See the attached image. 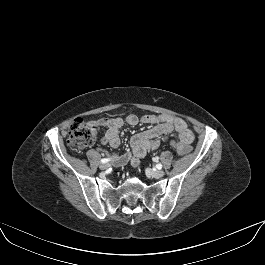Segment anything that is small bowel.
<instances>
[{"label":"small bowel","mask_w":265,"mask_h":265,"mask_svg":"<svg viewBox=\"0 0 265 265\" xmlns=\"http://www.w3.org/2000/svg\"><path fill=\"white\" fill-rule=\"evenodd\" d=\"M125 122L130 126L143 123L150 124L153 127L131 137L130 145L132 150L130 153L116 158L115 164L117 165L130 163L132 166L137 167L140 163V158L156 150L161 140L172 132H176L179 140L187 144L194 140V133L188 128L187 123L183 119L169 114L145 115L141 118L134 114H129L126 116ZM123 123L124 120L121 117L99 118L91 122L96 127L106 128L101 143L112 148H118L120 145L118 130Z\"/></svg>","instance_id":"small-bowel-1"}]
</instances>
